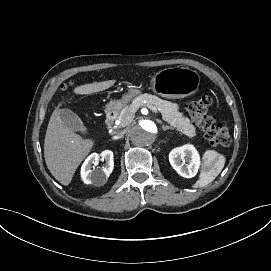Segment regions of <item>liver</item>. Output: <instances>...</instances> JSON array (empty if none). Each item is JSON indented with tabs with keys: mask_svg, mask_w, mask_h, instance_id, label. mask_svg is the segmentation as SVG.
I'll return each mask as SVG.
<instances>
[{
	"mask_svg": "<svg viewBox=\"0 0 271 271\" xmlns=\"http://www.w3.org/2000/svg\"><path fill=\"white\" fill-rule=\"evenodd\" d=\"M116 81L113 79L79 85L73 89V93L86 95L100 92L112 87ZM66 103L67 97L64 96L50 118L44 143L46 165L53 177L64 186L71 183L75 171L95 146V140L83 139L67 127L60 109Z\"/></svg>",
	"mask_w": 271,
	"mask_h": 271,
	"instance_id": "liver-1",
	"label": "liver"
}]
</instances>
